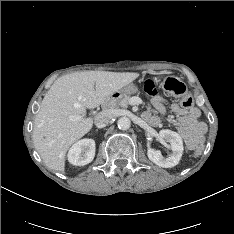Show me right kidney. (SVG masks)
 Here are the masks:
<instances>
[{"instance_id": "ca27d5eb", "label": "right kidney", "mask_w": 234, "mask_h": 234, "mask_svg": "<svg viewBox=\"0 0 234 234\" xmlns=\"http://www.w3.org/2000/svg\"><path fill=\"white\" fill-rule=\"evenodd\" d=\"M95 156V141L93 139H82L77 141L68 152V161L76 166L90 163Z\"/></svg>"}]
</instances>
